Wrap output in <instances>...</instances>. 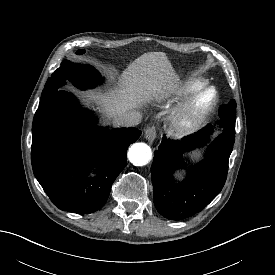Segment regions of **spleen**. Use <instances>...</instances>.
I'll return each instance as SVG.
<instances>
[{
  "label": "spleen",
  "mask_w": 275,
  "mask_h": 275,
  "mask_svg": "<svg viewBox=\"0 0 275 275\" xmlns=\"http://www.w3.org/2000/svg\"><path fill=\"white\" fill-rule=\"evenodd\" d=\"M200 155H201L200 151H195L192 153L193 158H198V157H200Z\"/></svg>",
  "instance_id": "obj_1"
}]
</instances>
